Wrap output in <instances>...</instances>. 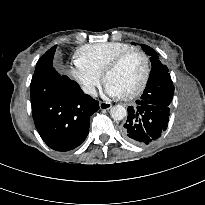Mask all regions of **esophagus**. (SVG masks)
<instances>
[{
    "label": "esophagus",
    "instance_id": "1",
    "mask_svg": "<svg viewBox=\"0 0 205 205\" xmlns=\"http://www.w3.org/2000/svg\"><path fill=\"white\" fill-rule=\"evenodd\" d=\"M99 107L102 110H108V109H110L112 107V105H111V103L103 102L102 101V102L99 103Z\"/></svg>",
    "mask_w": 205,
    "mask_h": 205
}]
</instances>
